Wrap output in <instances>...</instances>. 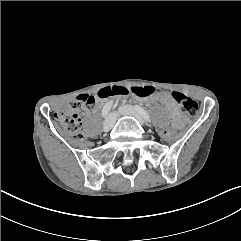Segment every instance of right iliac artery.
Masks as SVG:
<instances>
[{
	"mask_svg": "<svg viewBox=\"0 0 241 241\" xmlns=\"http://www.w3.org/2000/svg\"><path fill=\"white\" fill-rule=\"evenodd\" d=\"M113 105V101H109L105 104V106L102 109V117H106Z\"/></svg>",
	"mask_w": 241,
	"mask_h": 241,
	"instance_id": "82829eb1",
	"label": "right iliac artery"
}]
</instances>
